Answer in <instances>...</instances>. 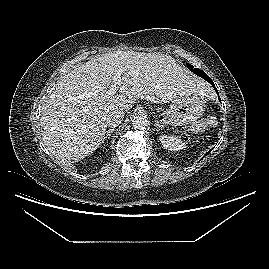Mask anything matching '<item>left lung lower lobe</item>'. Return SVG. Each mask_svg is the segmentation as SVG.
Wrapping results in <instances>:
<instances>
[{
  "mask_svg": "<svg viewBox=\"0 0 269 269\" xmlns=\"http://www.w3.org/2000/svg\"><path fill=\"white\" fill-rule=\"evenodd\" d=\"M192 72H193V71H192ZM194 73H195L196 75H198V76L204 78L206 81H208V82L214 87L215 91L217 92V89H216V87H215L213 81L210 79V77H209L207 74H205L202 70H199V69L196 70V72H194ZM217 94H218V92H217ZM219 100H220V98H219ZM220 101H221V100H220ZM210 151H211V150H210ZM210 151H208L207 154H209Z\"/></svg>",
  "mask_w": 269,
  "mask_h": 269,
  "instance_id": "left-lung-lower-lobe-1",
  "label": "left lung lower lobe"
}]
</instances>
